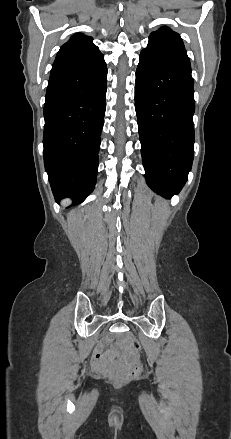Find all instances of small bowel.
<instances>
[{
  "mask_svg": "<svg viewBox=\"0 0 231 439\" xmlns=\"http://www.w3.org/2000/svg\"><path fill=\"white\" fill-rule=\"evenodd\" d=\"M95 362L100 364V365L102 364L98 359H95Z\"/></svg>",
  "mask_w": 231,
  "mask_h": 439,
  "instance_id": "small-bowel-1",
  "label": "small bowel"
}]
</instances>
